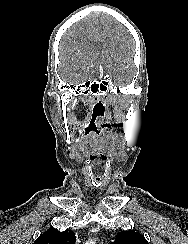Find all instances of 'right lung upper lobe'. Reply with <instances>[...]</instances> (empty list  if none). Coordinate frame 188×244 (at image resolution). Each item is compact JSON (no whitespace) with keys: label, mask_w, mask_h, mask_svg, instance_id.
<instances>
[{"label":"right lung upper lobe","mask_w":188,"mask_h":244,"mask_svg":"<svg viewBox=\"0 0 188 244\" xmlns=\"http://www.w3.org/2000/svg\"><path fill=\"white\" fill-rule=\"evenodd\" d=\"M33 244H75V234L67 230L60 232L56 229H49L41 234Z\"/></svg>","instance_id":"right-lung-upper-lobe-1"}]
</instances>
